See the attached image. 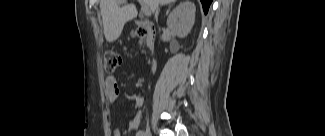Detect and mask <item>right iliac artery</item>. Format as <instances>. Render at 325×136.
Listing matches in <instances>:
<instances>
[{
  "label": "right iliac artery",
  "instance_id": "obj_1",
  "mask_svg": "<svg viewBox=\"0 0 325 136\" xmlns=\"http://www.w3.org/2000/svg\"><path fill=\"white\" fill-rule=\"evenodd\" d=\"M137 136H146V133L144 131H139L137 133Z\"/></svg>",
  "mask_w": 325,
  "mask_h": 136
}]
</instances>
